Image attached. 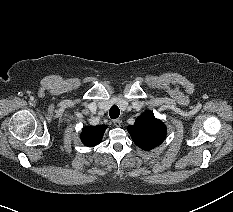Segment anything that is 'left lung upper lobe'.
I'll return each instance as SVG.
<instances>
[{
  "mask_svg": "<svg viewBox=\"0 0 233 212\" xmlns=\"http://www.w3.org/2000/svg\"><path fill=\"white\" fill-rule=\"evenodd\" d=\"M127 129L134 143L146 151L159 146L167 132L166 126L151 111H145Z\"/></svg>",
  "mask_w": 233,
  "mask_h": 212,
  "instance_id": "1",
  "label": "left lung upper lobe"
}]
</instances>
